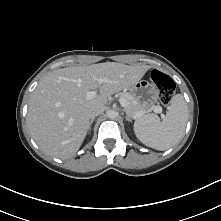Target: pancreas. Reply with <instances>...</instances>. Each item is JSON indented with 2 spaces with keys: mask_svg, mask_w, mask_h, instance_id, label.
<instances>
[{
  "mask_svg": "<svg viewBox=\"0 0 221 221\" xmlns=\"http://www.w3.org/2000/svg\"><path fill=\"white\" fill-rule=\"evenodd\" d=\"M118 95L121 98H124L127 100L128 105L125 108V112L126 114L129 115V117L131 118H136V115L139 112H147L148 110H150L151 108H144L140 102L136 99V97L134 95H132L131 93H123V92H119Z\"/></svg>",
  "mask_w": 221,
  "mask_h": 221,
  "instance_id": "obj_1",
  "label": "pancreas"
}]
</instances>
